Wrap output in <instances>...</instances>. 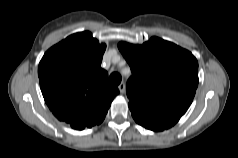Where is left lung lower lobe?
<instances>
[{"instance_id":"1","label":"left lung lower lobe","mask_w":238,"mask_h":158,"mask_svg":"<svg viewBox=\"0 0 238 158\" xmlns=\"http://www.w3.org/2000/svg\"><path fill=\"white\" fill-rule=\"evenodd\" d=\"M130 110L132 117L138 124L153 131L168 129L177 123L181 117V115L150 116Z\"/></svg>"}]
</instances>
